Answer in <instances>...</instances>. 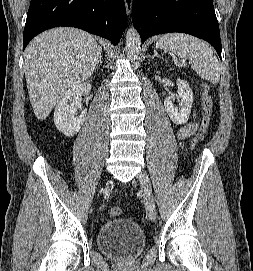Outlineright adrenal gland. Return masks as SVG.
<instances>
[{
    "mask_svg": "<svg viewBox=\"0 0 253 271\" xmlns=\"http://www.w3.org/2000/svg\"><path fill=\"white\" fill-rule=\"evenodd\" d=\"M101 58H102V55L100 54L99 59H98L97 64H96V67H98L99 64H102Z\"/></svg>",
    "mask_w": 253,
    "mask_h": 271,
    "instance_id": "right-adrenal-gland-1",
    "label": "right adrenal gland"
}]
</instances>
